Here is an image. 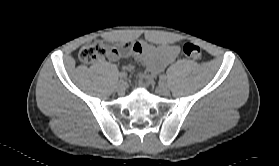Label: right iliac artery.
<instances>
[{
  "label": "right iliac artery",
  "mask_w": 279,
  "mask_h": 166,
  "mask_svg": "<svg viewBox=\"0 0 279 166\" xmlns=\"http://www.w3.org/2000/svg\"><path fill=\"white\" fill-rule=\"evenodd\" d=\"M126 77H127V73H126V72H121V73L119 74L120 80H123V79H125Z\"/></svg>",
  "instance_id": "1"
}]
</instances>
